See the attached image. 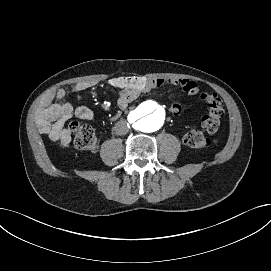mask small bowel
I'll use <instances>...</instances> for the list:
<instances>
[{
	"label": "small bowel",
	"instance_id": "c3829d8e",
	"mask_svg": "<svg viewBox=\"0 0 271 271\" xmlns=\"http://www.w3.org/2000/svg\"><path fill=\"white\" fill-rule=\"evenodd\" d=\"M107 84L120 90L118 106L122 109L127 108L141 93L156 88L177 86L188 95L195 96L200 93L198 84L188 79H152L124 76L112 78ZM95 85L96 83L92 81L80 82L72 86L71 91L72 93H79ZM72 117L93 120L95 114L86 106L66 100V91L61 87H55L42 97L34 118L41 133L48 135L54 141L60 142L63 146H67L71 140V131L65 127V124Z\"/></svg>",
	"mask_w": 271,
	"mask_h": 271
}]
</instances>
